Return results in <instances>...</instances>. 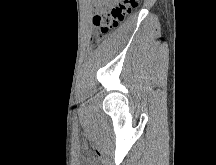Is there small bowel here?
<instances>
[{"mask_svg": "<svg viewBox=\"0 0 216 165\" xmlns=\"http://www.w3.org/2000/svg\"><path fill=\"white\" fill-rule=\"evenodd\" d=\"M96 7L102 8L108 3V0H94Z\"/></svg>", "mask_w": 216, "mask_h": 165, "instance_id": "c3829d8e", "label": "small bowel"}]
</instances>
